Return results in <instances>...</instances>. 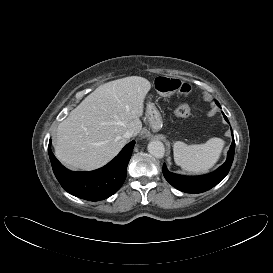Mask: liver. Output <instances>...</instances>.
Segmentation results:
<instances>
[{
    "mask_svg": "<svg viewBox=\"0 0 273 273\" xmlns=\"http://www.w3.org/2000/svg\"><path fill=\"white\" fill-rule=\"evenodd\" d=\"M150 82L130 76L107 82L89 94L57 127L56 157L74 169L107 164L126 145L123 134L142 129L144 100Z\"/></svg>",
    "mask_w": 273,
    "mask_h": 273,
    "instance_id": "obj_1",
    "label": "liver"
}]
</instances>
